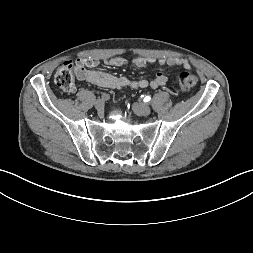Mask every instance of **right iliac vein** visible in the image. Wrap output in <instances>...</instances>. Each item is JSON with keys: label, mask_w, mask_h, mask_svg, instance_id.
<instances>
[{"label": "right iliac vein", "mask_w": 253, "mask_h": 253, "mask_svg": "<svg viewBox=\"0 0 253 253\" xmlns=\"http://www.w3.org/2000/svg\"><path fill=\"white\" fill-rule=\"evenodd\" d=\"M95 108L97 111L102 112L104 110V101L101 99H98L95 102Z\"/></svg>", "instance_id": "1"}]
</instances>
